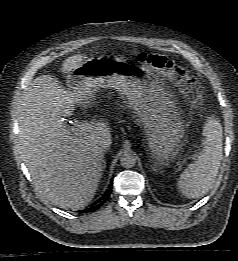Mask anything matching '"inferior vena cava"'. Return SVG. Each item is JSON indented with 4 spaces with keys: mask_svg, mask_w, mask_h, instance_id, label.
Here are the masks:
<instances>
[{
    "mask_svg": "<svg viewBox=\"0 0 238 261\" xmlns=\"http://www.w3.org/2000/svg\"><path fill=\"white\" fill-rule=\"evenodd\" d=\"M108 148H109V144L100 143V144L98 145V150H99V152H101L102 154H103V152H104L105 150H107Z\"/></svg>",
    "mask_w": 238,
    "mask_h": 261,
    "instance_id": "obj_1",
    "label": "inferior vena cava"
}]
</instances>
